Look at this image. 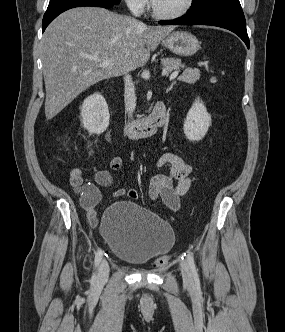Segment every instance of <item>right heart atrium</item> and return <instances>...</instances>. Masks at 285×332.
Returning <instances> with one entry per match:
<instances>
[{
    "label": "right heart atrium",
    "mask_w": 285,
    "mask_h": 332,
    "mask_svg": "<svg viewBox=\"0 0 285 332\" xmlns=\"http://www.w3.org/2000/svg\"><path fill=\"white\" fill-rule=\"evenodd\" d=\"M129 10L141 14L148 6V0H124Z\"/></svg>",
    "instance_id": "right-heart-atrium-1"
}]
</instances>
